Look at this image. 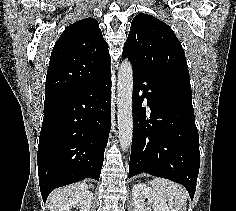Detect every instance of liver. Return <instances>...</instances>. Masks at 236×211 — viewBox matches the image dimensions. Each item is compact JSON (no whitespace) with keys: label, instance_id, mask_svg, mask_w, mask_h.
<instances>
[{"label":"liver","instance_id":"6515ba94","mask_svg":"<svg viewBox=\"0 0 236 211\" xmlns=\"http://www.w3.org/2000/svg\"><path fill=\"white\" fill-rule=\"evenodd\" d=\"M88 185L85 182L74 183L54 190L49 198L50 211H59L60 207L70 199L87 191Z\"/></svg>","mask_w":236,"mask_h":211}]
</instances>
